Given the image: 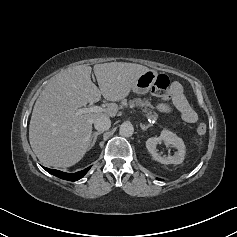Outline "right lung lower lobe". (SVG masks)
<instances>
[{
  "label": "right lung lower lobe",
  "mask_w": 237,
  "mask_h": 237,
  "mask_svg": "<svg viewBox=\"0 0 237 237\" xmlns=\"http://www.w3.org/2000/svg\"><path fill=\"white\" fill-rule=\"evenodd\" d=\"M47 172H49L50 174H53L61 179H64V180H69V181H76V180H79L80 178H82L87 172L88 170L90 169V167L82 170V171H79V172H76V173H65V172H62V171H59V170H54V169H49V168H46V167H43Z\"/></svg>",
  "instance_id": "98d812e1"
}]
</instances>
